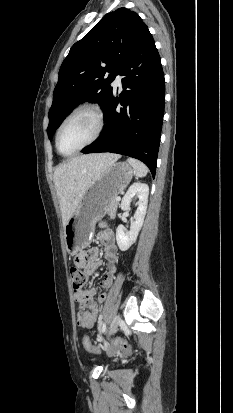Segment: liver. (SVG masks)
<instances>
[{
	"mask_svg": "<svg viewBox=\"0 0 233 413\" xmlns=\"http://www.w3.org/2000/svg\"><path fill=\"white\" fill-rule=\"evenodd\" d=\"M114 154L83 155L59 164L54 171V184L65 226L74 214L86 190L99 174L114 164Z\"/></svg>",
	"mask_w": 233,
	"mask_h": 413,
	"instance_id": "6515ba94",
	"label": "liver"
}]
</instances>
